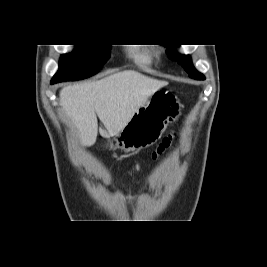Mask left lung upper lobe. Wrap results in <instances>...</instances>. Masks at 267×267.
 I'll use <instances>...</instances> for the list:
<instances>
[{
  "label": "left lung upper lobe",
  "instance_id": "1",
  "mask_svg": "<svg viewBox=\"0 0 267 267\" xmlns=\"http://www.w3.org/2000/svg\"><path fill=\"white\" fill-rule=\"evenodd\" d=\"M165 46L170 47V48H175L176 46H179V45H165ZM168 56L172 59H175L179 64H181L191 78L196 79V80L205 79V76L201 74L200 72H198L193 67L190 56L175 54L171 51L168 52Z\"/></svg>",
  "mask_w": 267,
  "mask_h": 267
}]
</instances>
